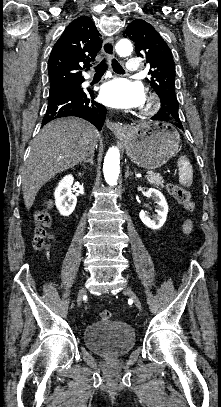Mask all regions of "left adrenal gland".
I'll return each mask as SVG.
<instances>
[{
  "mask_svg": "<svg viewBox=\"0 0 221 407\" xmlns=\"http://www.w3.org/2000/svg\"><path fill=\"white\" fill-rule=\"evenodd\" d=\"M133 173L129 170V166L126 167L125 178L127 179L129 176H132Z\"/></svg>",
  "mask_w": 221,
  "mask_h": 407,
  "instance_id": "obj_1",
  "label": "left adrenal gland"
}]
</instances>
